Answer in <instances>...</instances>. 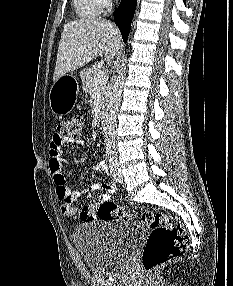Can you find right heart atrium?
<instances>
[{"label": "right heart atrium", "instance_id": "1", "mask_svg": "<svg viewBox=\"0 0 233 286\" xmlns=\"http://www.w3.org/2000/svg\"><path fill=\"white\" fill-rule=\"evenodd\" d=\"M102 1L105 7H107L110 4V0H102Z\"/></svg>", "mask_w": 233, "mask_h": 286}]
</instances>
